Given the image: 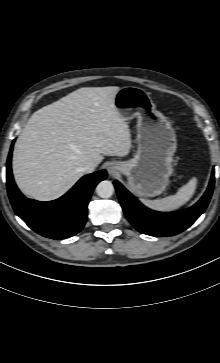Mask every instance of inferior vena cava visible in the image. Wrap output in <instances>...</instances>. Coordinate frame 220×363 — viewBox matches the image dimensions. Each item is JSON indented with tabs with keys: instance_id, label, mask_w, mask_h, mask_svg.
Returning <instances> with one entry per match:
<instances>
[{
	"instance_id": "inferior-vena-cava-1",
	"label": "inferior vena cava",
	"mask_w": 220,
	"mask_h": 363,
	"mask_svg": "<svg viewBox=\"0 0 220 363\" xmlns=\"http://www.w3.org/2000/svg\"><path fill=\"white\" fill-rule=\"evenodd\" d=\"M96 168V164L94 162H86L84 166L82 167V171L86 173H90L94 171Z\"/></svg>"
}]
</instances>
